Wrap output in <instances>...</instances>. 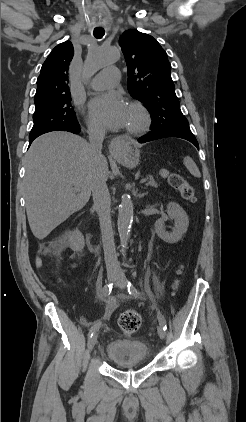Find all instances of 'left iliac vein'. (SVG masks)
Returning a JSON list of instances; mask_svg holds the SVG:
<instances>
[{
  "mask_svg": "<svg viewBox=\"0 0 246 422\" xmlns=\"http://www.w3.org/2000/svg\"><path fill=\"white\" fill-rule=\"evenodd\" d=\"M116 286L117 287H119L120 289H125L126 288V285H127V281H126V278H125V276L122 274V273H120L119 274V276H118V278H117V281H116ZM165 334H166V332H165V330L163 329V327L160 325L159 327H158V335H159V337L161 338V339H164L165 338Z\"/></svg>",
  "mask_w": 246,
  "mask_h": 422,
  "instance_id": "obj_1",
  "label": "left iliac vein"
}]
</instances>
